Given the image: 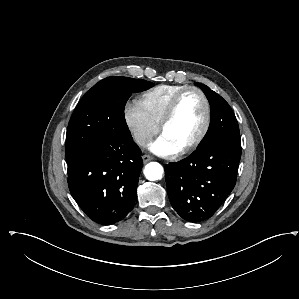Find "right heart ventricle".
<instances>
[{
  "label": "right heart ventricle",
  "mask_w": 299,
  "mask_h": 299,
  "mask_svg": "<svg viewBox=\"0 0 299 299\" xmlns=\"http://www.w3.org/2000/svg\"><path fill=\"white\" fill-rule=\"evenodd\" d=\"M186 85L163 84L156 86L141 94L137 103L143 109L148 118L157 126L165 113L166 108L173 97Z\"/></svg>",
  "instance_id": "right-heart-ventricle-1"
}]
</instances>
